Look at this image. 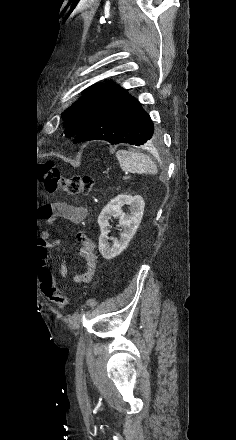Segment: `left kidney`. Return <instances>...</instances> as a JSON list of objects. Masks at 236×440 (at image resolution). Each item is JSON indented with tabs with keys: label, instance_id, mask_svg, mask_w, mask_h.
Wrapping results in <instances>:
<instances>
[{
	"label": "left kidney",
	"instance_id": "obj_1",
	"mask_svg": "<svg viewBox=\"0 0 236 440\" xmlns=\"http://www.w3.org/2000/svg\"><path fill=\"white\" fill-rule=\"evenodd\" d=\"M123 205L130 206V214L122 211ZM145 203L141 196H131L121 194L112 199L101 211L98 217L100 226L99 251L104 259L109 260L119 255L129 244L136 233L143 217ZM112 216L119 217V226L122 228L120 239L113 242V245L107 242L109 233V220Z\"/></svg>",
	"mask_w": 236,
	"mask_h": 440
}]
</instances>
